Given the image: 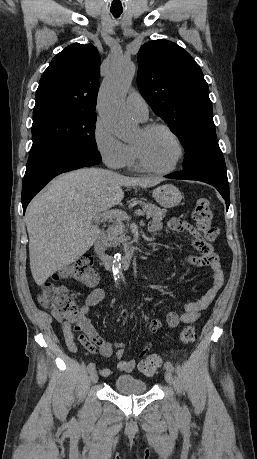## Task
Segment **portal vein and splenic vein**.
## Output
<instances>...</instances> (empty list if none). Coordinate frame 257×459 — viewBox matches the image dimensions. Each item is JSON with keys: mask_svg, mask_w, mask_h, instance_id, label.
Here are the masks:
<instances>
[{"mask_svg": "<svg viewBox=\"0 0 257 459\" xmlns=\"http://www.w3.org/2000/svg\"><path fill=\"white\" fill-rule=\"evenodd\" d=\"M135 214L138 216H144V213L142 211H136ZM112 219L129 220L130 217L126 214V212L122 210H110L97 217L96 222H103Z\"/></svg>", "mask_w": 257, "mask_h": 459, "instance_id": "1", "label": "portal vein and splenic vein"}]
</instances>
